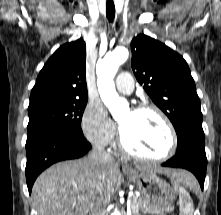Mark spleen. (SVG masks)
Segmentation results:
<instances>
[{"label": "spleen", "instance_id": "spleen-1", "mask_svg": "<svg viewBox=\"0 0 221 215\" xmlns=\"http://www.w3.org/2000/svg\"><path fill=\"white\" fill-rule=\"evenodd\" d=\"M194 178L190 175L189 180L185 182L174 181L173 186L177 192H179V209L180 215H193L194 207L193 202L189 193L186 191L185 187H194ZM182 184V185H180Z\"/></svg>", "mask_w": 221, "mask_h": 215}]
</instances>
